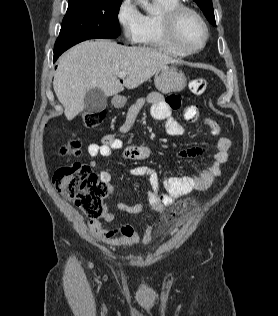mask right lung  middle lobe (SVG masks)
<instances>
[{"label":"right lung middle lobe","mask_w":278,"mask_h":316,"mask_svg":"<svg viewBox=\"0 0 278 316\" xmlns=\"http://www.w3.org/2000/svg\"><path fill=\"white\" fill-rule=\"evenodd\" d=\"M54 53L95 38H116L120 35L118 12L122 0H68Z\"/></svg>","instance_id":"obj_1"}]
</instances>
